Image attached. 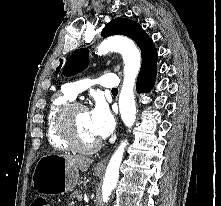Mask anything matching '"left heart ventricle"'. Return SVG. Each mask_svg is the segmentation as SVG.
Wrapping results in <instances>:
<instances>
[{"label":"left heart ventricle","mask_w":221,"mask_h":206,"mask_svg":"<svg viewBox=\"0 0 221 206\" xmlns=\"http://www.w3.org/2000/svg\"><path fill=\"white\" fill-rule=\"evenodd\" d=\"M75 127L82 143L89 145L98 140L91 131L88 111L77 110L74 113Z\"/></svg>","instance_id":"1"}]
</instances>
